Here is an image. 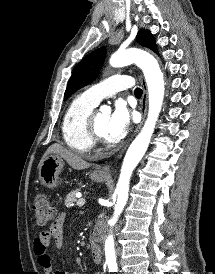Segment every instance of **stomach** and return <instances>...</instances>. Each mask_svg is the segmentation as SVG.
<instances>
[{
	"label": "stomach",
	"mask_w": 215,
	"mask_h": 274,
	"mask_svg": "<svg viewBox=\"0 0 215 274\" xmlns=\"http://www.w3.org/2000/svg\"><path fill=\"white\" fill-rule=\"evenodd\" d=\"M64 167V161L60 156L50 155L42 163L39 169V179L49 189L56 188L59 182V174ZM90 178L96 182H103L106 176L100 175L97 172L90 173Z\"/></svg>",
	"instance_id": "stomach-1"
}]
</instances>
